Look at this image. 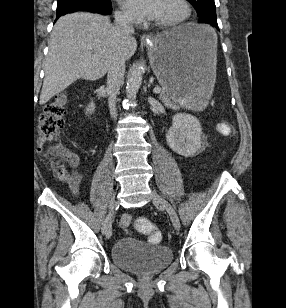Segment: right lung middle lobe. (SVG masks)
<instances>
[{
	"instance_id": "1",
	"label": "right lung middle lobe",
	"mask_w": 286,
	"mask_h": 308,
	"mask_svg": "<svg viewBox=\"0 0 286 308\" xmlns=\"http://www.w3.org/2000/svg\"><path fill=\"white\" fill-rule=\"evenodd\" d=\"M81 5H93L98 7H111L110 0H58L57 10Z\"/></svg>"
}]
</instances>
